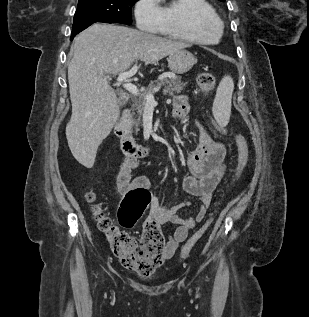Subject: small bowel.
<instances>
[{
	"instance_id": "small-bowel-1",
	"label": "small bowel",
	"mask_w": 309,
	"mask_h": 317,
	"mask_svg": "<svg viewBox=\"0 0 309 317\" xmlns=\"http://www.w3.org/2000/svg\"><path fill=\"white\" fill-rule=\"evenodd\" d=\"M189 102L185 95H178L173 99L174 115L178 118L186 116L189 112ZM200 133V142L197 148L189 155L187 167L189 175L183 180L184 190L198 198L200 202L197 213L189 218H183L179 212L186 207L179 203L172 206H163L158 197L151 194L149 202V217L160 224L171 223L176 225L173 234L169 237L163 257L171 258L179 244L188 236L189 230L201 222L212 201V195L222 180L225 171L226 147L223 143L213 139L205 127L197 123ZM137 165V158L126 157L120 166L117 175V187L121 194L134 189H145L150 192L151 183L147 177H133L132 172Z\"/></svg>"
}]
</instances>
